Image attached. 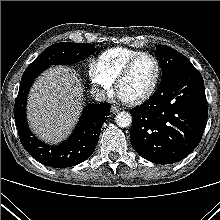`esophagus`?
<instances>
[{"instance_id":"1","label":"esophagus","mask_w":220,"mask_h":220,"mask_svg":"<svg viewBox=\"0 0 220 220\" xmlns=\"http://www.w3.org/2000/svg\"><path fill=\"white\" fill-rule=\"evenodd\" d=\"M111 112H112L113 114H115V113L119 112V108L116 107V106H112V107H111Z\"/></svg>"}]
</instances>
